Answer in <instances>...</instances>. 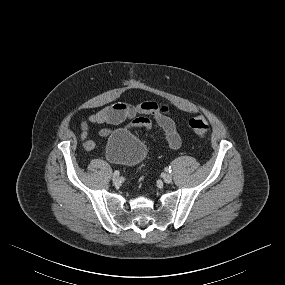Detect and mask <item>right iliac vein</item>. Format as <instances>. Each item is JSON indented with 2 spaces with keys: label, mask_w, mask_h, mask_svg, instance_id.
I'll use <instances>...</instances> for the list:
<instances>
[{
  "label": "right iliac vein",
  "mask_w": 285,
  "mask_h": 285,
  "mask_svg": "<svg viewBox=\"0 0 285 285\" xmlns=\"http://www.w3.org/2000/svg\"><path fill=\"white\" fill-rule=\"evenodd\" d=\"M112 180H113V183L116 184V185L120 183V177L119 176H115L114 175Z\"/></svg>",
  "instance_id": "right-iliac-vein-1"
}]
</instances>
